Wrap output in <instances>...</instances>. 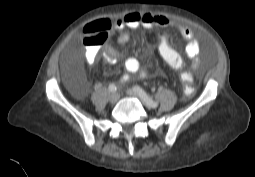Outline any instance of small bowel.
I'll list each match as a JSON object with an SVG mask.
<instances>
[{
	"instance_id": "obj_1",
	"label": "small bowel",
	"mask_w": 255,
	"mask_h": 177,
	"mask_svg": "<svg viewBox=\"0 0 255 177\" xmlns=\"http://www.w3.org/2000/svg\"><path fill=\"white\" fill-rule=\"evenodd\" d=\"M114 25L115 28L120 31H123L126 28L137 29L151 27H169L175 29L186 40L185 54L192 62L191 71L197 68L200 46L193 31L189 27L178 24L164 15H154L151 13H128L115 20ZM128 39V33L122 32L117 40L122 44L127 42ZM103 55L108 62H114L121 57V52L112 47H107ZM98 57L99 51L96 48H90L87 51V60L90 63H94ZM132 75H138L140 78L146 77V73L141 69L140 62L136 58L130 57L126 59L124 63V74L122 79L126 80Z\"/></svg>"
}]
</instances>
